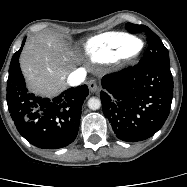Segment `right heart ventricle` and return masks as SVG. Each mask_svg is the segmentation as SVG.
<instances>
[{"label":"right heart ventricle","mask_w":187,"mask_h":187,"mask_svg":"<svg viewBox=\"0 0 187 187\" xmlns=\"http://www.w3.org/2000/svg\"><path fill=\"white\" fill-rule=\"evenodd\" d=\"M142 45L140 39L120 32H108L91 38L86 50L98 63H113L131 56Z\"/></svg>","instance_id":"1"}]
</instances>
